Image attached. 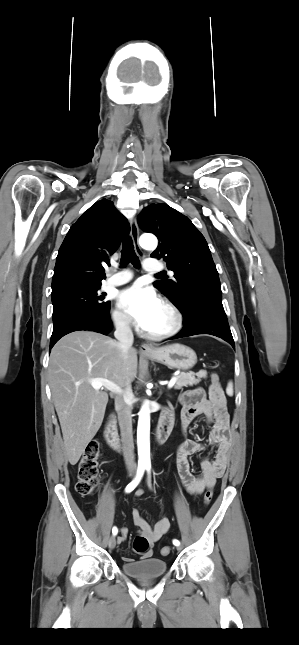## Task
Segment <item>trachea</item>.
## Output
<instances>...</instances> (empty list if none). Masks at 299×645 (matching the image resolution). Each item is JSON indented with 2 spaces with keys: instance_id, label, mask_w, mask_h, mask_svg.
I'll return each mask as SVG.
<instances>
[{
  "instance_id": "1",
  "label": "trachea",
  "mask_w": 299,
  "mask_h": 645,
  "mask_svg": "<svg viewBox=\"0 0 299 645\" xmlns=\"http://www.w3.org/2000/svg\"><path fill=\"white\" fill-rule=\"evenodd\" d=\"M129 262H131L135 267H139V259L134 251L133 241L130 237H125L122 243L121 250V266L125 267ZM158 273L157 275H160Z\"/></svg>"
}]
</instances>
